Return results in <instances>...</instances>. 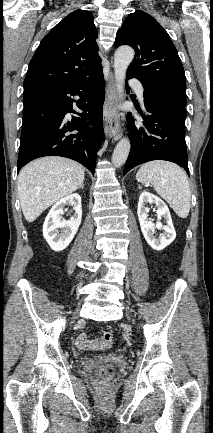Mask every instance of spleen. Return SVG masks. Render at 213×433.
Listing matches in <instances>:
<instances>
[{
  "label": "spleen",
  "instance_id": "obj_1",
  "mask_svg": "<svg viewBox=\"0 0 213 433\" xmlns=\"http://www.w3.org/2000/svg\"><path fill=\"white\" fill-rule=\"evenodd\" d=\"M136 179L142 184H151L179 217L188 216L191 191L187 175L179 166L165 161H151L140 167Z\"/></svg>",
  "mask_w": 213,
  "mask_h": 433
}]
</instances>
